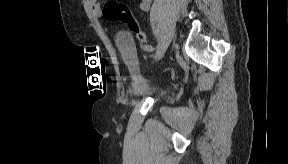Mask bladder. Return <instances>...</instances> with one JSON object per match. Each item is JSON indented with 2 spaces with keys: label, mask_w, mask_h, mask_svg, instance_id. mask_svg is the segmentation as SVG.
<instances>
[{
  "label": "bladder",
  "mask_w": 288,
  "mask_h": 164,
  "mask_svg": "<svg viewBox=\"0 0 288 164\" xmlns=\"http://www.w3.org/2000/svg\"><path fill=\"white\" fill-rule=\"evenodd\" d=\"M119 46L130 71L133 74H136L138 71L139 61L133 45L121 37L119 39ZM134 92L137 96H150L156 100L160 99L163 94L160 89L148 83L137 84Z\"/></svg>",
  "instance_id": "obj_1"
}]
</instances>
